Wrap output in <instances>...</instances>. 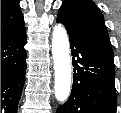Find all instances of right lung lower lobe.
I'll list each match as a JSON object with an SVG mask.
<instances>
[{"instance_id": "98d812e1", "label": "right lung lower lobe", "mask_w": 121, "mask_h": 113, "mask_svg": "<svg viewBox=\"0 0 121 113\" xmlns=\"http://www.w3.org/2000/svg\"><path fill=\"white\" fill-rule=\"evenodd\" d=\"M25 43L24 26L1 38V113H17L26 72Z\"/></svg>"}]
</instances>
